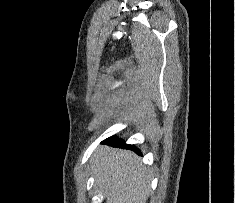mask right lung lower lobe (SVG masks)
<instances>
[{"label":"right lung lower lobe","instance_id":"right-lung-lower-lobe-1","mask_svg":"<svg viewBox=\"0 0 235 203\" xmlns=\"http://www.w3.org/2000/svg\"><path fill=\"white\" fill-rule=\"evenodd\" d=\"M104 143L109 144V145H113V146H117V147H125V148H129V149H133L135 150L138 154H140V151L134 147V145H127L124 143V141L118 139L117 137H110L108 139H106L104 141Z\"/></svg>","mask_w":235,"mask_h":203}]
</instances>
